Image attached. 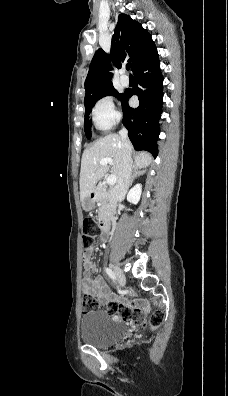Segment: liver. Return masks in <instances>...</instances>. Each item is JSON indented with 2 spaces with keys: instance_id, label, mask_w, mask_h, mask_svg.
I'll use <instances>...</instances> for the list:
<instances>
[{
  "instance_id": "1",
  "label": "liver",
  "mask_w": 228,
  "mask_h": 396,
  "mask_svg": "<svg viewBox=\"0 0 228 396\" xmlns=\"http://www.w3.org/2000/svg\"><path fill=\"white\" fill-rule=\"evenodd\" d=\"M122 141L118 134H109L98 139L90 148L83 152L80 170V200L95 191L97 182L109 171V166L100 165V160L111 158V173L118 179L122 162ZM152 162V156L147 152H140L134 158V166L146 168Z\"/></svg>"
}]
</instances>
